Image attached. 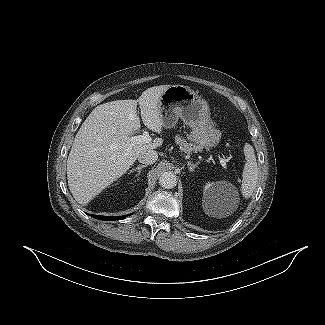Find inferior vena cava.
I'll return each mask as SVG.
<instances>
[{"mask_svg": "<svg viewBox=\"0 0 325 325\" xmlns=\"http://www.w3.org/2000/svg\"><path fill=\"white\" fill-rule=\"evenodd\" d=\"M157 159L158 153L155 150H144L138 156V161L146 165L155 163Z\"/></svg>", "mask_w": 325, "mask_h": 325, "instance_id": "602c4592", "label": "inferior vena cava"}]
</instances>
